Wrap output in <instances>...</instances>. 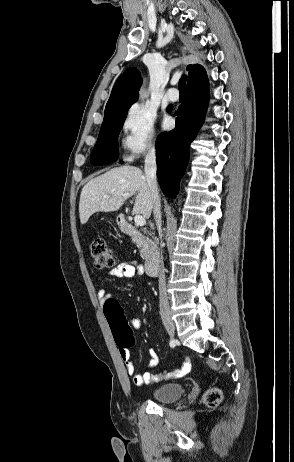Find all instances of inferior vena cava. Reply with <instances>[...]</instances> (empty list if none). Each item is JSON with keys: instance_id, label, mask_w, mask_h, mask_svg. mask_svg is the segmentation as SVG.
<instances>
[{"instance_id": "1", "label": "inferior vena cava", "mask_w": 294, "mask_h": 462, "mask_svg": "<svg viewBox=\"0 0 294 462\" xmlns=\"http://www.w3.org/2000/svg\"><path fill=\"white\" fill-rule=\"evenodd\" d=\"M156 171H157L156 151H155L154 146H152L149 148L146 158H145L144 172H145V177L148 182L150 194L152 198L154 219L158 226V230L160 231L161 222H162L161 202H160V196H159V191H158V186H157ZM159 308H160L161 315L170 313V307H169L167 291H166L165 274H164L163 267H161L160 272H159Z\"/></svg>"}]
</instances>
